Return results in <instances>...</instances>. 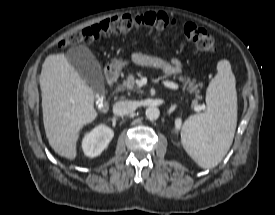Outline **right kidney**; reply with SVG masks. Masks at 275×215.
Wrapping results in <instances>:
<instances>
[{
  "instance_id": "obj_1",
  "label": "right kidney",
  "mask_w": 275,
  "mask_h": 215,
  "mask_svg": "<svg viewBox=\"0 0 275 215\" xmlns=\"http://www.w3.org/2000/svg\"><path fill=\"white\" fill-rule=\"evenodd\" d=\"M114 136L111 128L105 125H99L91 132L87 133L82 141V149L88 157L100 155L109 145Z\"/></svg>"
}]
</instances>
